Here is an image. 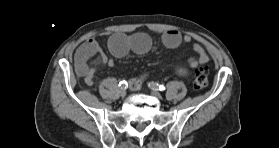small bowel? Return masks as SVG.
I'll return each mask as SVG.
<instances>
[{
	"label": "small bowel",
	"instance_id": "obj_1",
	"mask_svg": "<svg viewBox=\"0 0 279 148\" xmlns=\"http://www.w3.org/2000/svg\"><path fill=\"white\" fill-rule=\"evenodd\" d=\"M161 40L167 48H176L182 42L190 43L192 38L190 35L182 36L181 33L176 30H168L162 34ZM151 45L152 41L150 36L142 32L132 35L117 33L112 35L108 40L109 51L117 58L125 56L129 51H133L137 54H144L149 51ZM193 50L196 56L189 59L187 67L178 69L179 74L185 76L188 74L189 70L195 69L200 64H205L209 61L207 53L200 44L194 43ZM94 56H97L101 63L106 64L110 68L115 65V61L107 58L103 53L95 38L86 40L77 48L74 59L76 73L84 79L87 85H92L93 83L95 69L89 64V61ZM147 77V74H141L131 79L129 81V87L132 90H138Z\"/></svg>",
	"mask_w": 279,
	"mask_h": 148
}]
</instances>
